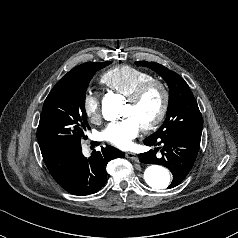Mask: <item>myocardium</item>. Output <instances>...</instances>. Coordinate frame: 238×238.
<instances>
[{
    "mask_svg": "<svg viewBox=\"0 0 238 238\" xmlns=\"http://www.w3.org/2000/svg\"><path fill=\"white\" fill-rule=\"evenodd\" d=\"M152 88H157L161 92V104L156 116L147 124L141 126L145 132L155 129L165 118L170 101L169 90L164 82L158 79H150L136 88V90L127 97V102L131 105H137L144 98L148 91Z\"/></svg>",
    "mask_w": 238,
    "mask_h": 238,
    "instance_id": "f54148a6",
    "label": "myocardium"
}]
</instances>
